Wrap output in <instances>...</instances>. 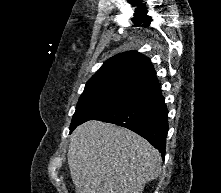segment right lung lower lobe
Returning a JSON list of instances; mask_svg holds the SVG:
<instances>
[{"instance_id":"98d812e1","label":"right lung lower lobe","mask_w":221,"mask_h":193,"mask_svg":"<svg viewBox=\"0 0 221 193\" xmlns=\"http://www.w3.org/2000/svg\"><path fill=\"white\" fill-rule=\"evenodd\" d=\"M128 128L149 141L165 157L168 110L158 81L145 87L127 103L96 118Z\"/></svg>"}]
</instances>
